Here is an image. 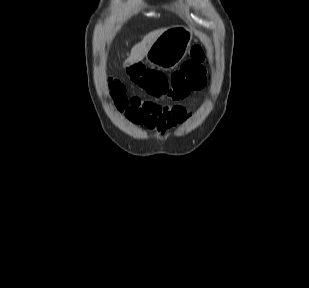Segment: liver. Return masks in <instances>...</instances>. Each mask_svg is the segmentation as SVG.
Returning a JSON list of instances; mask_svg holds the SVG:
<instances>
[{
	"instance_id": "6515ba94",
	"label": "liver",
	"mask_w": 309,
	"mask_h": 288,
	"mask_svg": "<svg viewBox=\"0 0 309 288\" xmlns=\"http://www.w3.org/2000/svg\"><path fill=\"white\" fill-rule=\"evenodd\" d=\"M166 29H158L153 32L147 34L143 40L136 44L132 50L130 56L127 58L126 62L129 64L136 63L141 61L145 55L147 54L148 50L150 49L153 42L165 31Z\"/></svg>"
}]
</instances>
